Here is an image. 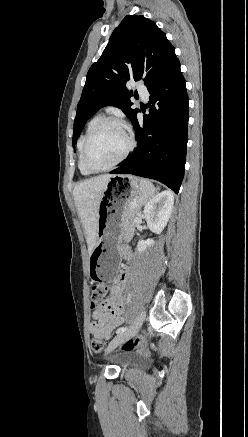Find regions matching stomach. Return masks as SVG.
I'll list each match as a JSON object with an SVG mask.
<instances>
[{
    "instance_id": "0dacf381",
    "label": "stomach",
    "mask_w": 248,
    "mask_h": 437,
    "mask_svg": "<svg viewBox=\"0 0 248 437\" xmlns=\"http://www.w3.org/2000/svg\"><path fill=\"white\" fill-rule=\"evenodd\" d=\"M141 194V184L135 176L121 174L108 181L99 203L97 241L88 267L94 286H114L120 262L118 242L124 228L123 213L133 200L141 204Z\"/></svg>"
}]
</instances>
